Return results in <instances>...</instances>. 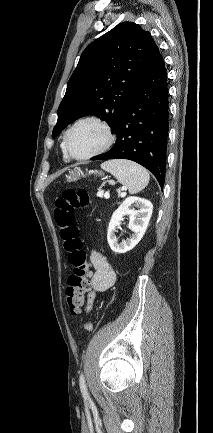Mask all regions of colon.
<instances>
[{"mask_svg": "<svg viewBox=\"0 0 213 433\" xmlns=\"http://www.w3.org/2000/svg\"><path fill=\"white\" fill-rule=\"evenodd\" d=\"M90 204L89 194L84 189L68 188L55 201V222L59 228V236L67 253L68 261L74 268L66 287V303L72 315L81 313L85 305L86 294L90 289V266L87 263L79 230L75 226L76 210L86 208ZM84 329L91 331L93 324L86 321Z\"/></svg>", "mask_w": 213, "mask_h": 433, "instance_id": "obj_1", "label": "colon"}]
</instances>
